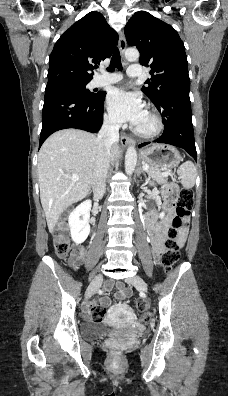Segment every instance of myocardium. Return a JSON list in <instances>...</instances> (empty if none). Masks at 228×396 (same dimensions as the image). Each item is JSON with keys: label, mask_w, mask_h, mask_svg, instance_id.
Here are the masks:
<instances>
[{"label": "myocardium", "mask_w": 228, "mask_h": 396, "mask_svg": "<svg viewBox=\"0 0 228 396\" xmlns=\"http://www.w3.org/2000/svg\"><path fill=\"white\" fill-rule=\"evenodd\" d=\"M146 112L152 117L154 121V128L150 131H142L139 128L134 127L133 132L135 133V135H137L140 138L152 139L161 134L164 128V124L161 116L158 114V112L155 109L147 108Z\"/></svg>", "instance_id": "obj_1"}]
</instances>
